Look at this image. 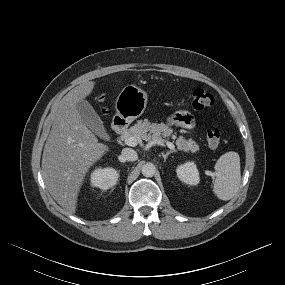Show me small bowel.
<instances>
[{"label": "small bowel", "instance_id": "small-bowel-1", "mask_svg": "<svg viewBox=\"0 0 285 285\" xmlns=\"http://www.w3.org/2000/svg\"><path fill=\"white\" fill-rule=\"evenodd\" d=\"M169 122L182 128H193L196 124L195 117L188 111H178L170 116Z\"/></svg>", "mask_w": 285, "mask_h": 285}]
</instances>
